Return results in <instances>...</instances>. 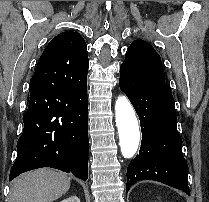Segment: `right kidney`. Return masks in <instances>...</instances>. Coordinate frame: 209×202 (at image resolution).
<instances>
[{
    "mask_svg": "<svg viewBox=\"0 0 209 202\" xmlns=\"http://www.w3.org/2000/svg\"><path fill=\"white\" fill-rule=\"evenodd\" d=\"M61 202H80V199L76 196H70V197L62 200Z\"/></svg>",
    "mask_w": 209,
    "mask_h": 202,
    "instance_id": "right-kidney-1",
    "label": "right kidney"
}]
</instances>
